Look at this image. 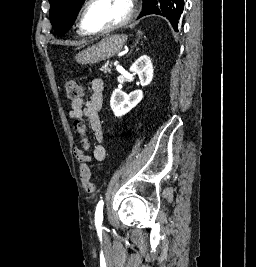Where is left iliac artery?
Segmentation results:
<instances>
[{
  "label": "left iliac artery",
  "instance_id": "44dca946",
  "mask_svg": "<svg viewBox=\"0 0 256 267\" xmlns=\"http://www.w3.org/2000/svg\"><path fill=\"white\" fill-rule=\"evenodd\" d=\"M103 206L104 202L103 200H100L97 204L96 211H95V225H102L103 221Z\"/></svg>",
  "mask_w": 256,
  "mask_h": 267
}]
</instances>
